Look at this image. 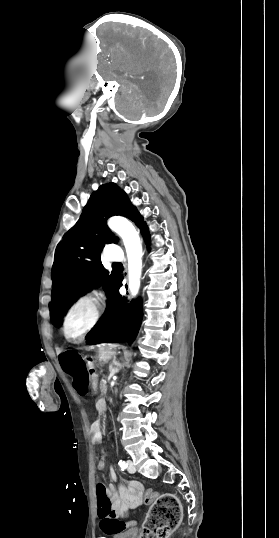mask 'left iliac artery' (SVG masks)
Segmentation results:
<instances>
[{
    "label": "left iliac artery",
    "instance_id": "obj_1",
    "mask_svg": "<svg viewBox=\"0 0 279 538\" xmlns=\"http://www.w3.org/2000/svg\"><path fill=\"white\" fill-rule=\"evenodd\" d=\"M119 466L122 470H125L128 466V464L124 460L119 461Z\"/></svg>",
    "mask_w": 279,
    "mask_h": 538
}]
</instances>
